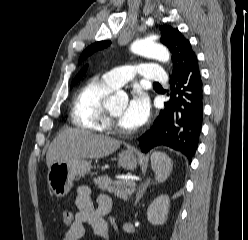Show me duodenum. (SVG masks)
I'll return each mask as SVG.
<instances>
[{
  "label": "duodenum",
  "instance_id": "1",
  "mask_svg": "<svg viewBox=\"0 0 248 240\" xmlns=\"http://www.w3.org/2000/svg\"><path fill=\"white\" fill-rule=\"evenodd\" d=\"M97 232H99L100 234H102L103 238L108 240L109 239V234H108V225L107 223H103L101 224L97 229Z\"/></svg>",
  "mask_w": 248,
  "mask_h": 240
}]
</instances>
